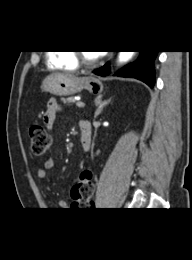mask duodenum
I'll return each mask as SVG.
<instances>
[{"label":"duodenum","instance_id":"obj_1","mask_svg":"<svg viewBox=\"0 0 192 260\" xmlns=\"http://www.w3.org/2000/svg\"><path fill=\"white\" fill-rule=\"evenodd\" d=\"M80 142L83 151H88L92 142V125L87 120L80 121Z\"/></svg>","mask_w":192,"mask_h":260}]
</instances>
